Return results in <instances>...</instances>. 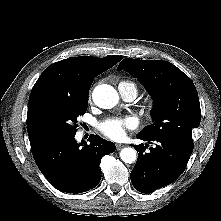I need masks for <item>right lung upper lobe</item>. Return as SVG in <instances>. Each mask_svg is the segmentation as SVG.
<instances>
[{
  "instance_id": "1",
  "label": "right lung upper lobe",
  "mask_w": 221,
  "mask_h": 221,
  "mask_svg": "<svg viewBox=\"0 0 221 221\" xmlns=\"http://www.w3.org/2000/svg\"><path fill=\"white\" fill-rule=\"evenodd\" d=\"M122 57L109 56L96 58L92 56L70 57L51 64L38 78L32 88L28 110L34 97L42 92L51 91L67 95H85L94 78L117 64ZM27 129L31 147L40 143L34 135L27 114Z\"/></svg>"
}]
</instances>
